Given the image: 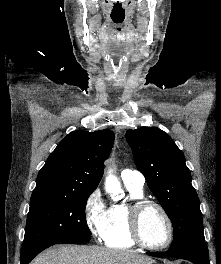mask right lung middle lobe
<instances>
[{"label":"right lung middle lobe","instance_id":"dd1d6c3e","mask_svg":"<svg viewBox=\"0 0 221 264\" xmlns=\"http://www.w3.org/2000/svg\"><path fill=\"white\" fill-rule=\"evenodd\" d=\"M91 193L33 192L21 255L47 245L89 241L85 207Z\"/></svg>","mask_w":221,"mask_h":264}]
</instances>
